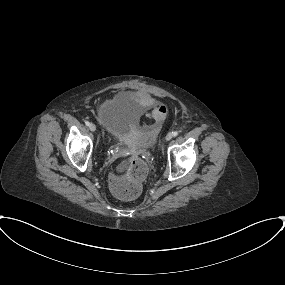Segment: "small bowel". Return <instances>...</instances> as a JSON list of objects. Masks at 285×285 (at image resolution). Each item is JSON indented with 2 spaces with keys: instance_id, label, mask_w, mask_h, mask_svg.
I'll list each match as a JSON object with an SVG mask.
<instances>
[{
  "instance_id": "c3829d8e",
  "label": "small bowel",
  "mask_w": 285,
  "mask_h": 285,
  "mask_svg": "<svg viewBox=\"0 0 285 285\" xmlns=\"http://www.w3.org/2000/svg\"><path fill=\"white\" fill-rule=\"evenodd\" d=\"M142 102L149 108V121L151 123L159 124L168 117V108L165 106H158L155 99L144 97ZM99 120L112 136L119 139L120 145L117 147V152L123 153L125 151L124 147L129 146L131 143L129 138L130 132L137 127V120L132 118L125 122L122 114L115 111L110 105V102L102 106ZM127 130L129 132H125Z\"/></svg>"
}]
</instances>
